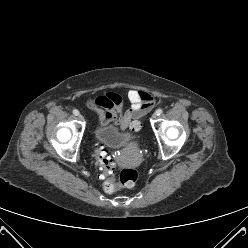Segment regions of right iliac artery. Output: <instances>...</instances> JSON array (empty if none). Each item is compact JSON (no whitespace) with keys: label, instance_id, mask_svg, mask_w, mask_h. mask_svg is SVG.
I'll return each instance as SVG.
<instances>
[{"label":"right iliac artery","instance_id":"1","mask_svg":"<svg viewBox=\"0 0 248 248\" xmlns=\"http://www.w3.org/2000/svg\"><path fill=\"white\" fill-rule=\"evenodd\" d=\"M73 114H74V115H78V114H79V111L76 110V109H74V110H73Z\"/></svg>","mask_w":248,"mask_h":248}]
</instances>
